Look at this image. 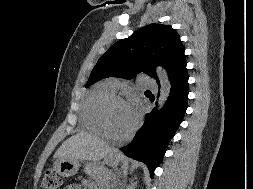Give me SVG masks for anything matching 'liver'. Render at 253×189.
Returning a JSON list of instances; mask_svg holds the SVG:
<instances>
[{
	"label": "liver",
	"instance_id": "obj_1",
	"mask_svg": "<svg viewBox=\"0 0 253 189\" xmlns=\"http://www.w3.org/2000/svg\"><path fill=\"white\" fill-rule=\"evenodd\" d=\"M113 152L115 151L111 147L97 137L80 132L64 141L54 154V158L98 162Z\"/></svg>",
	"mask_w": 253,
	"mask_h": 189
}]
</instances>
